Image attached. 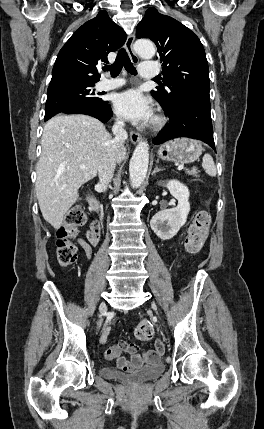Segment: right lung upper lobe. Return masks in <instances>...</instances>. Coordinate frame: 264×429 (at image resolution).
Listing matches in <instances>:
<instances>
[{
    "label": "right lung upper lobe",
    "instance_id": "right-lung-upper-lobe-1",
    "mask_svg": "<svg viewBox=\"0 0 264 429\" xmlns=\"http://www.w3.org/2000/svg\"><path fill=\"white\" fill-rule=\"evenodd\" d=\"M126 34L106 11L84 23L66 42L55 61L48 88L66 84H95L97 67L126 41Z\"/></svg>",
    "mask_w": 264,
    "mask_h": 429
}]
</instances>
